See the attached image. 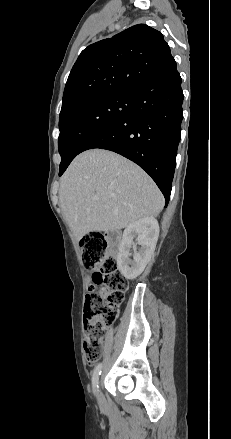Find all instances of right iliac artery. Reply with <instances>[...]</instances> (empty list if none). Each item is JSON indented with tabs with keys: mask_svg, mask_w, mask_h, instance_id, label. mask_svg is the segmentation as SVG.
Returning <instances> with one entry per match:
<instances>
[{
	"mask_svg": "<svg viewBox=\"0 0 231 439\" xmlns=\"http://www.w3.org/2000/svg\"><path fill=\"white\" fill-rule=\"evenodd\" d=\"M101 368H102V364L100 363L95 367L94 373L92 375V385H93L94 392H96L97 388H98V380H99V376L101 374Z\"/></svg>",
	"mask_w": 231,
	"mask_h": 439,
	"instance_id": "right-iliac-artery-1",
	"label": "right iliac artery"
}]
</instances>
